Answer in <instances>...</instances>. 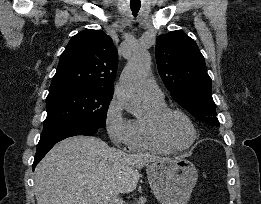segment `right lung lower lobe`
<instances>
[{
    "mask_svg": "<svg viewBox=\"0 0 261 204\" xmlns=\"http://www.w3.org/2000/svg\"><path fill=\"white\" fill-rule=\"evenodd\" d=\"M99 127L92 125H73L42 132L33 162V170L45 154L59 141L75 135H93Z\"/></svg>",
    "mask_w": 261,
    "mask_h": 204,
    "instance_id": "98d812e1",
    "label": "right lung lower lobe"
}]
</instances>
